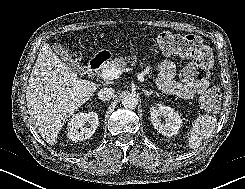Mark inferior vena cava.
Listing matches in <instances>:
<instances>
[{
	"label": "inferior vena cava",
	"mask_w": 245,
	"mask_h": 189,
	"mask_svg": "<svg viewBox=\"0 0 245 189\" xmlns=\"http://www.w3.org/2000/svg\"><path fill=\"white\" fill-rule=\"evenodd\" d=\"M114 93L115 91L112 88H103L98 92V98L107 101L114 97Z\"/></svg>",
	"instance_id": "obj_1"
}]
</instances>
